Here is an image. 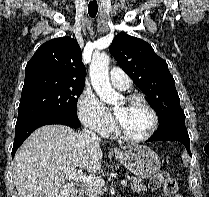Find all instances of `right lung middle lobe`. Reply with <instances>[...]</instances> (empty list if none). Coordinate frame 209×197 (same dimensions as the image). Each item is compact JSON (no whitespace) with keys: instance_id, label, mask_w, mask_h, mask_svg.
<instances>
[{"instance_id":"dd1d6c3e","label":"right lung middle lobe","mask_w":209,"mask_h":197,"mask_svg":"<svg viewBox=\"0 0 209 197\" xmlns=\"http://www.w3.org/2000/svg\"><path fill=\"white\" fill-rule=\"evenodd\" d=\"M84 83L36 80L22 89L17 121L45 113L77 117V101Z\"/></svg>"}]
</instances>
